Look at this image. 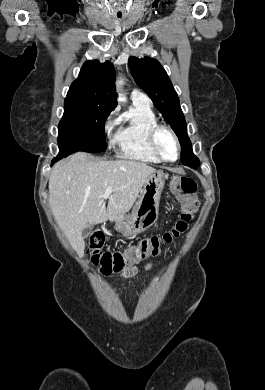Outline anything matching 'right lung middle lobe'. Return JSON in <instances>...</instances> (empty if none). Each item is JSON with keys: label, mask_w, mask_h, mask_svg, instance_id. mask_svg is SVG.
<instances>
[{"label": "right lung middle lobe", "mask_w": 265, "mask_h": 390, "mask_svg": "<svg viewBox=\"0 0 265 390\" xmlns=\"http://www.w3.org/2000/svg\"><path fill=\"white\" fill-rule=\"evenodd\" d=\"M110 112L96 106L64 104V115L58 126V157L77 151H104V127Z\"/></svg>", "instance_id": "dd1d6c3e"}]
</instances>
